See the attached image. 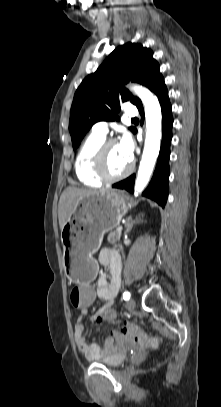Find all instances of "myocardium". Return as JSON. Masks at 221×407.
Returning <instances> with one entry per match:
<instances>
[{"mask_svg":"<svg viewBox=\"0 0 221 407\" xmlns=\"http://www.w3.org/2000/svg\"><path fill=\"white\" fill-rule=\"evenodd\" d=\"M118 143L114 138L105 139L99 146L93 159V172L97 178L103 182H116L129 176L134 169V162L130 161L129 166L118 175H110L105 167V158L108 148Z\"/></svg>","mask_w":221,"mask_h":407,"instance_id":"obj_1","label":"myocardium"}]
</instances>
